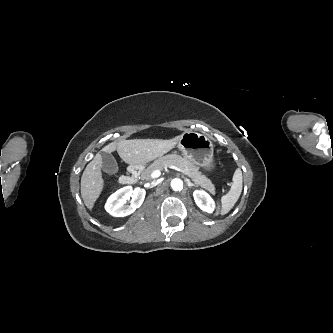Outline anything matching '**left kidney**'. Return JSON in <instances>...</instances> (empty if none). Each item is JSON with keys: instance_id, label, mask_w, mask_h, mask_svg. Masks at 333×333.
Listing matches in <instances>:
<instances>
[{"instance_id": "1", "label": "left kidney", "mask_w": 333, "mask_h": 333, "mask_svg": "<svg viewBox=\"0 0 333 333\" xmlns=\"http://www.w3.org/2000/svg\"><path fill=\"white\" fill-rule=\"evenodd\" d=\"M193 197L197 206L202 211L213 213L215 209V202L207 192L203 190H196L193 192Z\"/></svg>"}]
</instances>
